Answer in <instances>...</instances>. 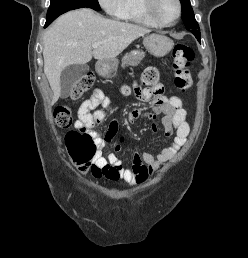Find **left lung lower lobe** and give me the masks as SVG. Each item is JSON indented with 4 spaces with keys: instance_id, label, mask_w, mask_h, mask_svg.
<instances>
[{
    "instance_id": "0a47b994",
    "label": "left lung lower lobe",
    "mask_w": 248,
    "mask_h": 258,
    "mask_svg": "<svg viewBox=\"0 0 248 258\" xmlns=\"http://www.w3.org/2000/svg\"><path fill=\"white\" fill-rule=\"evenodd\" d=\"M192 33L195 35L197 40L200 42L201 34L199 30H192Z\"/></svg>"
}]
</instances>
